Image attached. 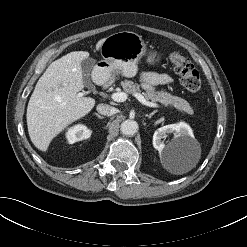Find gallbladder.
I'll list each match as a JSON object with an SVG mask.
<instances>
[{"instance_id":"gallbladder-1","label":"gallbladder","mask_w":247,"mask_h":247,"mask_svg":"<svg viewBox=\"0 0 247 247\" xmlns=\"http://www.w3.org/2000/svg\"><path fill=\"white\" fill-rule=\"evenodd\" d=\"M93 66H94V60L92 58H86L81 63L83 74L86 76V78L84 79V83L90 89L94 88L93 84L91 83L90 78L88 77V75L90 74Z\"/></svg>"}]
</instances>
